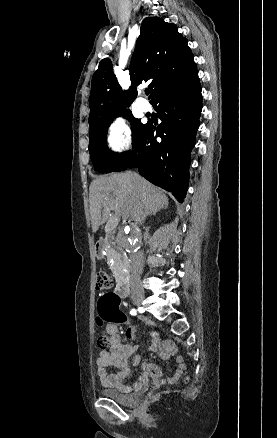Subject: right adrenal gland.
<instances>
[{
  "instance_id": "right-adrenal-gland-1",
  "label": "right adrenal gland",
  "mask_w": 277,
  "mask_h": 438,
  "mask_svg": "<svg viewBox=\"0 0 277 438\" xmlns=\"http://www.w3.org/2000/svg\"><path fill=\"white\" fill-rule=\"evenodd\" d=\"M163 210H166V208H163ZM146 216H148V214H143L142 220H145Z\"/></svg>"
}]
</instances>
